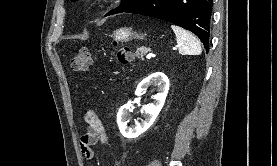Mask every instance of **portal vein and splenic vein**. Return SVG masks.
I'll list each match as a JSON object with an SVG mask.
<instances>
[{"label":"portal vein and splenic vein","instance_id":"18ae733b","mask_svg":"<svg viewBox=\"0 0 277 166\" xmlns=\"http://www.w3.org/2000/svg\"><path fill=\"white\" fill-rule=\"evenodd\" d=\"M152 55H153L152 53H149V54L146 55V58L150 59L152 57Z\"/></svg>","mask_w":277,"mask_h":166}]
</instances>
